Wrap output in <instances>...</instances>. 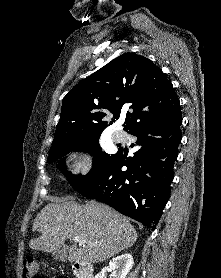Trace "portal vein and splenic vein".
I'll return each instance as SVG.
<instances>
[{
	"mask_svg": "<svg viewBox=\"0 0 221 278\" xmlns=\"http://www.w3.org/2000/svg\"><path fill=\"white\" fill-rule=\"evenodd\" d=\"M74 241L79 242L80 244H84L86 242L85 240H82L79 237H75Z\"/></svg>",
	"mask_w": 221,
	"mask_h": 278,
	"instance_id": "obj_1",
	"label": "portal vein and splenic vein"
}]
</instances>
